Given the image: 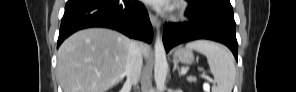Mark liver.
<instances>
[{
  "label": "liver",
  "instance_id": "1",
  "mask_svg": "<svg viewBox=\"0 0 296 92\" xmlns=\"http://www.w3.org/2000/svg\"><path fill=\"white\" fill-rule=\"evenodd\" d=\"M131 40L104 28L76 32L58 50L57 72L64 92H106L125 76ZM145 56L151 48L141 45Z\"/></svg>",
  "mask_w": 296,
  "mask_h": 92
}]
</instances>
